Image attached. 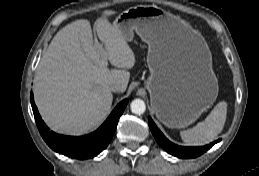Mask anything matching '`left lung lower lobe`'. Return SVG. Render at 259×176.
Instances as JSON below:
<instances>
[{
    "instance_id": "1",
    "label": "left lung lower lobe",
    "mask_w": 259,
    "mask_h": 176,
    "mask_svg": "<svg viewBox=\"0 0 259 176\" xmlns=\"http://www.w3.org/2000/svg\"><path fill=\"white\" fill-rule=\"evenodd\" d=\"M149 127L150 130L155 137L156 141L162 146L169 154H172L174 156H177L179 158H195L203 153H205L207 150H209L214 144L219 142L221 139H218L214 142H212L209 145L201 146V147H183L178 146L176 144H173L170 142L163 134L162 132L157 128L155 123L152 121V119L149 117Z\"/></svg>"
}]
</instances>
